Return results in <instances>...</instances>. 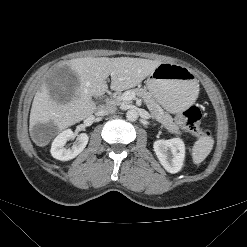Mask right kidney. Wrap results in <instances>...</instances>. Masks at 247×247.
Listing matches in <instances>:
<instances>
[{"label":"right kidney","instance_id":"obj_1","mask_svg":"<svg viewBox=\"0 0 247 247\" xmlns=\"http://www.w3.org/2000/svg\"><path fill=\"white\" fill-rule=\"evenodd\" d=\"M75 137L71 129L61 132L53 141L51 146V155L61 161H68L79 155L86 147L89 137L86 133L77 136L76 142L71 148H66L67 141Z\"/></svg>","mask_w":247,"mask_h":247}]
</instances>
